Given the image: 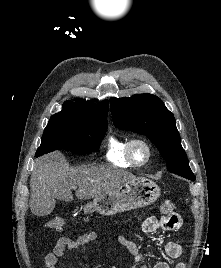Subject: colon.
<instances>
[{
  "instance_id": "1",
  "label": "colon",
  "mask_w": 221,
  "mask_h": 268,
  "mask_svg": "<svg viewBox=\"0 0 221 268\" xmlns=\"http://www.w3.org/2000/svg\"><path fill=\"white\" fill-rule=\"evenodd\" d=\"M175 203L171 199H166L160 206V211L165 216L173 214ZM64 226V220L60 216H54L46 223V227L53 230H61Z\"/></svg>"
}]
</instances>
